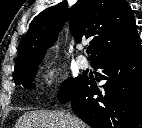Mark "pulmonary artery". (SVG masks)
Returning a JSON list of instances; mask_svg holds the SVG:
<instances>
[{"label":"pulmonary artery","instance_id":"1","mask_svg":"<svg viewBox=\"0 0 142 128\" xmlns=\"http://www.w3.org/2000/svg\"><path fill=\"white\" fill-rule=\"evenodd\" d=\"M76 62L81 69H86L89 66L88 60L83 55H79L76 59Z\"/></svg>","mask_w":142,"mask_h":128}]
</instances>
